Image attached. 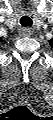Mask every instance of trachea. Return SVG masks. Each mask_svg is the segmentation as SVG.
I'll return each mask as SVG.
<instances>
[{
    "instance_id": "3493384b",
    "label": "trachea",
    "mask_w": 53,
    "mask_h": 120,
    "mask_svg": "<svg viewBox=\"0 0 53 120\" xmlns=\"http://www.w3.org/2000/svg\"><path fill=\"white\" fill-rule=\"evenodd\" d=\"M20 24L22 26H32L33 21H32V19L29 16H23L20 19Z\"/></svg>"
}]
</instances>
